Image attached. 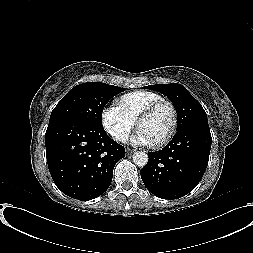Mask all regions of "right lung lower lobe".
<instances>
[{
    "mask_svg": "<svg viewBox=\"0 0 253 253\" xmlns=\"http://www.w3.org/2000/svg\"><path fill=\"white\" fill-rule=\"evenodd\" d=\"M46 157L56 186L66 195L86 201L103 194L111 184L115 164L125 148L103 126L79 119L49 123Z\"/></svg>",
    "mask_w": 253,
    "mask_h": 253,
    "instance_id": "right-lung-lower-lobe-1",
    "label": "right lung lower lobe"
}]
</instances>
